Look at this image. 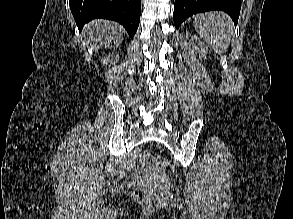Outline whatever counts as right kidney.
<instances>
[{"label": "right kidney", "instance_id": "ca27d5eb", "mask_svg": "<svg viewBox=\"0 0 293 219\" xmlns=\"http://www.w3.org/2000/svg\"><path fill=\"white\" fill-rule=\"evenodd\" d=\"M117 56L114 55H108L106 57H104L101 62L103 63V65H108L109 63L111 64L112 62L117 60Z\"/></svg>", "mask_w": 293, "mask_h": 219}]
</instances>
